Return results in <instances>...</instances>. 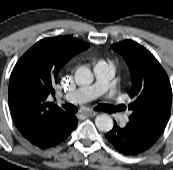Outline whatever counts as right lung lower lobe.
Here are the masks:
<instances>
[{"mask_svg":"<svg viewBox=\"0 0 173 170\" xmlns=\"http://www.w3.org/2000/svg\"><path fill=\"white\" fill-rule=\"evenodd\" d=\"M76 126V116L67 114L63 118L50 121L38 129L22 135L33 145L39 148H48L66 139Z\"/></svg>","mask_w":173,"mask_h":170,"instance_id":"1","label":"right lung lower lobe"}]
</instances>
